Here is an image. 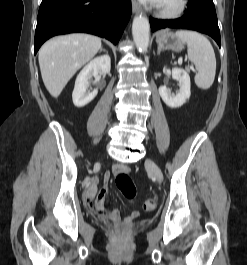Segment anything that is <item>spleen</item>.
<instances>
[{"label":"spleen","mask_w":247,"mask_h":265,"mask_svg":"<svg viewBox=\"0 0 247 265\" xmlns=\"http://www.w3.org/2000/svg\"><path fill=\"white\" fill-rule=\"evenodd\" d=\"M175 35L187 44L188 58L197 70L195 84L200 89H209L216 73V58L210 41L195 31L178 30Z\"/></svg>","instance_id":"obj_1"}]
</instances>
